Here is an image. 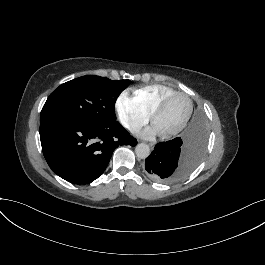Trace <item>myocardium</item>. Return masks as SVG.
I'll list each match as a JSON object with an SVG mask.
<instances>
[{"label": "myocardium", "instance_id": "myocardium-1", "mask_svg": "<svg viewBox=\"0 0 265 265\" xmlns=\"http://www.w3.org/2000/svg\"><path fill=\"white\" fill-rule=\"evenodd\" d=\"M174 96H181L185 99L186 109H185V113H184L183 118L174 128H172L168 131L160 132L161 135L164 137L171 136V135H174V134L180 132L187 125V123L190 119L191 113H192V102L189 99V97H187L185 94H183L181 92L173 91L171 93H168L164 97H162L155 104L153 111H152V123H153V125H155L156 117H157L159 111L161 110V108L168 102L169 99H171Z\"/></svg>", "mask_w": 265, "mask_h": 265}]
</instances>
